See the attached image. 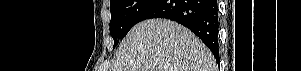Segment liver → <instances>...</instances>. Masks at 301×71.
<instances>
[{
    "label": "liver",
    "instance_id": "obj_1",
    "mask_svg": "<svg viewBox=\"0 0 301 71\" xmlns=\"http://www.w3.org/2000/svg\"><path fill=\"white\" fill-rule=\"evenodd\" d=\"M109 71H216L207 46L187 28L165 19L135 25Z\"/></svg>",
    "mask_w": 301,
    "mask_h": 71
}]
</instances>
